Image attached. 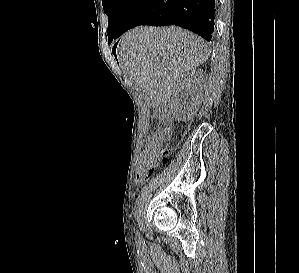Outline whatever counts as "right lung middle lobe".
<instances>
[{"label":"right lung middle lobe","mask_w":299,"mask_h":273,"mask_svg":"<svg viewBox=\"0 0 299 273\" xmlns=\"http://www.w3.org/2000/svg\"><path fill=\"white\" fill-rule=\"evenodd\" d=\"M134 0H102L103 9L109 18L108 42L111 43L118 32Z\"/></svg>","instance_id":"obj_1"}]
</instances>
